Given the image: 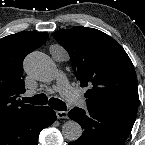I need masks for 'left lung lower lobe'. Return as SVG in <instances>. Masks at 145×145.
Masks as SVG:
<instances>
[{"instance_id": "0a47b994", "label": "left lung lower lobe", "mask_w": 145, "mask_h": 145, "mask_svg": "<svg viewBox=\"0 0 145 145\" xmlns=\"http://www.w3.org/2000/svg\"><path fill=\"white\" fill-rule=\"evenodd\" d=\"M137 111L125 109L74 108L69 118L84 129L82 136L69 145H124L136 119Z\"/></svg>"}]
</instances>
